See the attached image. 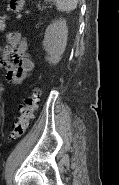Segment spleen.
Listing matches in <instances>:
<instances>
[{
  "mask_svg": "<svg viewBox=\"0 0 119 185\" xmlns=\"http://www.w3.org/2000/svg\"><path fill=\"white\" fill-rule=\"evenodd\" d=\"M59 11H73L76 9L78 0H53Z\"/></svg>",
  "mask_w": 119,
  "mask_h": 185,
  "instance_id": "obj_1",
  "label": "spleen"
}]
</instances>
